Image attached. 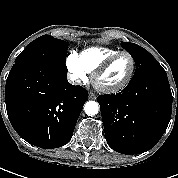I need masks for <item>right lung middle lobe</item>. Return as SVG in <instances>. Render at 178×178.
Segmentation results:
<instances>
[{"instance_id": "dd1d6c3e", "label": "right lung middle lobe", "mask_w": 178, "mask_h": 178, "mask_svg": "<svg viewBox=\"0 0 178 178\" xmlns=\"http://www.w3.org/2000/svg\"><path fill=\"white\" fill-rule=\"evenodd\" d=\"M68 45L69 43L50 35L40 36L28 44V46L16 57L15 64L59 63L64 66L63 70L68 71L65 65Z\"/></svg>"}]
</instances>
